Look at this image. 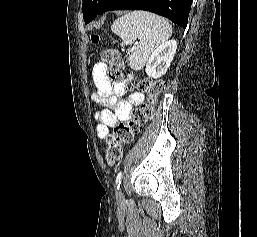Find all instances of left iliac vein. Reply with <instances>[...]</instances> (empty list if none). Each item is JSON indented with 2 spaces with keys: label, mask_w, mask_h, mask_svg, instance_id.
I'll return each instance as SVG.
<instances>
[{
  "label": "left iliac vein",
  "mask_w": 257,
  "mask_h": 237,
  "mask_svg": "<svg viewBox=\"0 0 257 237\" xmlns=\"http://www.w3.org/2000/svg\"><path fill=\"white\" fill-rule=\"evenodd\" d=\"M118 198H119V199H123V194H122L121 191H119Z\"/></svg>",
  "instance_id": "1"
}]
</instances>
